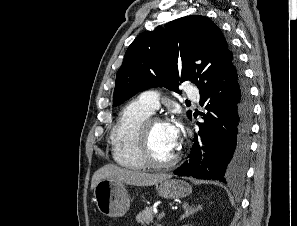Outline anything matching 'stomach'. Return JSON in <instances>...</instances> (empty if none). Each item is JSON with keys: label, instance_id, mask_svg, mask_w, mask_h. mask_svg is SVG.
Segmentation results:
<instances>
[{"label": "stomach", "instance_id": "0dacf381", "mask_svg": "<svg viewBox=\"0 0 297 226\" xmlns=\"http://www.w3.org/2000/svg\"><path fill=\"white\" fill-rule=\"evenodd\" d=\"M156 190L164 198L175 199L188 196L192 188L185 181L167 178L156 184ZM94 200L99 211L109 217H121L130 207L124 183L116 180H100L94 188Z\"/></svg>", "mask_w": 297, "mask_h": 226}]
</instances>
